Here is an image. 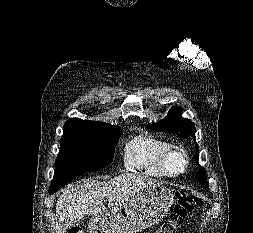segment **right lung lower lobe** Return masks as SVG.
<instances>
[{"label":"right lung lower lobe","mask_w":253,"mask_h":233,"mask_svg":"<svg viewBox=\"0 0 253 233\" xmlns=\"http://www.w3.org/2000/svg\"><path fill=\"white\" fill-rule=\"evenodd\" d=\"M82 172H76L69 174L65 177H62L58 180H53L51 183V186L49 188V194H54L57 192L59 189H61L63 186H65L69 181H71L73 178L81 174Z\"/></svg>","instance_id":"right-lung-lower-lobe-1"}]
</instances>
